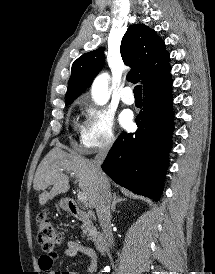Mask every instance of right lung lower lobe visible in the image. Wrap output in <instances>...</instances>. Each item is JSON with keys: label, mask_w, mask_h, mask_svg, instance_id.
<instances>
[{"label": "right lung lower lobe", "mask_w": 215, "mask_h": 274, "mask_svg": "<svg viewBox=\"0 0 215 274\" xmlns=\"http://www.w3.org/2000/svg\"><path fill=\"white\" fill-rule=\"evenodd\" d=\"M171 83L144 93L135 133H122L102 165L116 183L158 201L173 132Z\"/></svg>", "instance_id": "obj_1"}]
</instances>
